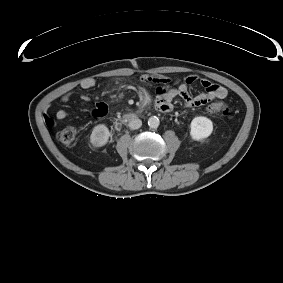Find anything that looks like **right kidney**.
Returning a JSON list of instances; mask_svg holds the SVG:
<instances>
[{
    "label": "right kidney",
    "mask_w": 283,
    "mask_h": 283,
    "mask_svg": "<svg viewBox=\"0 0 283 283\" xmlns=\"http://www.w3.org/2000/svg\"><path fill=\"white\" fill-rule=\"evenodd\" d=\"M110 137L109 129L104 124L96 125L90 135V142L96 146L101 147L107 144Z\"/></svg>",
    "instance_id": "right-kidney-1"
}]
</instances>
